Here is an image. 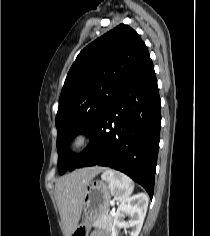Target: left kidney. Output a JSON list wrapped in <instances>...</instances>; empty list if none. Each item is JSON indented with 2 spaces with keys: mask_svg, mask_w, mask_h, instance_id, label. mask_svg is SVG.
Instances as JSON below:
<instances>
[{
  "mask_svg": "<svg viewBox=\"0 0 210 236\" xmlns=\"http://www.w3.org/2000/svg\"><path fill=\"white\" fill-rule=\"evenodd\" d=\"M148 207V197L144 193H139L123 201L114 214L111 236H118L121 228H131L130 236H138ZM126 215H130L129 222H125Z\"/></svg>",
  "mask_w": 210,
  "mask_h": 236,
  "instance_id": "left-kidney-1",
  "label": "left kidney"
}]
</instances>
